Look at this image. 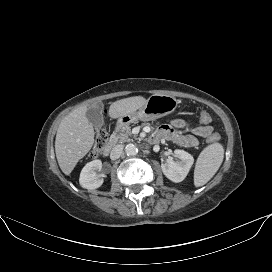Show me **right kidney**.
<instances>
[{
	"label": "right kidney",
	"mask_w": 272,
	"mask_h": 272,
	"mask_svg": "<svg viewBox=\"0 0 272 272\" xmlns=\"http://www.w3.org/2000/svg\"><path fill=\"white\" fill-rule=\"evenodd\" d=\"M102 168L101 160L87 163L80 173L79 183L85 189H96L103 184V178L98 174Z\"/></svg>",
	"instance_id": "1"
}]
</instances>
